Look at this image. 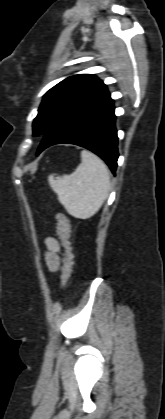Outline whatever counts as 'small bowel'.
<instances>
[{
	"mask_svg": "<svg viewBox=\"0 0 165 419\" xmlns=\"http://www.w3.org/2000/svg\"><path fill=\"white\" fill-rule=\"evenodd\" d=\"M47 251L45 253V263L52 272H57L61 267V247L57 239L49 237L45 240Z\"/></svg>",
	"mask_w": 165,
	"mask_h": 419,
	"instance_id": "small-bowel-1",
	"label": "small bowel"
}]
</instances>
